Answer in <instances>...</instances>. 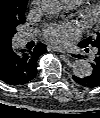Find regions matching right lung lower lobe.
Instances as JSON below:
<instances>
[{"mask_svg":"<svg viewBox=\"0 0 100 118\" xmlns=\"http://www.w3.org/2000/svg\"><path fill=\"white\" fill-rule=\"evenodd\" d=\"M46 53L45 45L33 49L16 50L12 47L0 52V79L9 85H23L37 74V60Z\"/></svg>","mask_w":100,"mask_h":118,"instance_id":"1","label":"right lung lower lobe"}]
</instances>
